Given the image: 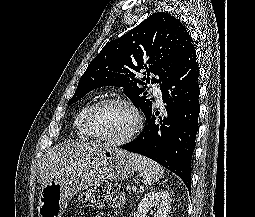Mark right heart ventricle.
Returning a JSON list of instances; mask_svg holds the SVG:
<instances>
[{"mask_svg": "<svg viewBox=\"0 0 255 217\" xmlns=\"http://www.w3.org/2000/svg\"><path fill=\"white\" fill-rule=\"evenodd\" d=\"M93 105V103H89L84 105L76 114L74 118L73 125L76 129L77 136L84 140H92L94 139L93 135L89 132L86 126V113L88 109Z\"/></svg>", "mask_w": 255, "mask_h": 217, "instance_id": "e07e8e85", "label": "right heart ventricle"}]
</instances>
